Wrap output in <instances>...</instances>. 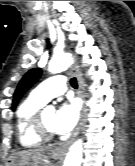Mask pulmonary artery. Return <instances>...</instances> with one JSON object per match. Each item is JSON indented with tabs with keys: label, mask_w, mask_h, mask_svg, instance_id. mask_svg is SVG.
I'll use <instances>...</instances> for the list:
<instances>
[{
	"label": "pulmonary artery",
	"mask_w": 135,
	"mask_h": 166,
	"mask_svg": "<svg viewBox=\"0 0 135 166\" xmlns=\"http://www.w3.org/2000/svg\"><path fill=\"white\" fill-rule=\"evenodd\" d=\"M66 88V79L62 75H55L40 83L31 94L46 103L53 97L62 95Z\"/></svg>",
	"instance_id": "e3ab8cb5"
}]
</instances>
